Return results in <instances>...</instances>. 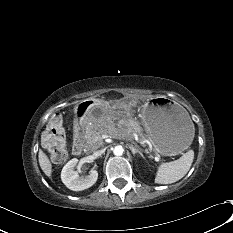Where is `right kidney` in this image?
<instances>
[{"label":"right kidney","instance_id":"obj_1","mask_svg":"<svg viewBox=\"0 0 233 233\" xmlns=\"http://www.w3.org/2000/svg\"><path fill=\"white\" fill-rule=\"evenodd\" d=\"M78 159H71L62 169L61 179L67 188L73 191H81L95 184L98 178V172L91 170L88 176H79L75 171Z\"/></svg>","mask_w":233,"mask_h":233}]
</instances>
